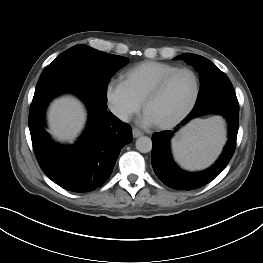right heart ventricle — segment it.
Listing matches in <instances>:
<instances>
[{
    "mask_svg": "<svg viewBox=\"0 0 263 263\" xmlns=\"http://www.w3.org/2000/svg\"><path fill=\"white\" fill-rule=\"evenodd\" d=\"M176 69L178 67L168 63L146 61L129 68L122 77L132 95L142 103L152 88Z\"/></svg>",
    "mask_w": 263,
    "mask_h": 263,
    "instance_id": "1",
    "label": "right heart ventricle"
}]
</instances>
